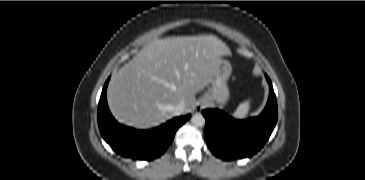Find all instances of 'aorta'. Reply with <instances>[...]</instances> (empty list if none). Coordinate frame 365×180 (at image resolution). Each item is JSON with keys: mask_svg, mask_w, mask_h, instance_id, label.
Returning <instances> with one entry per match:
<instances>
[{"mask_svg": "<svg viewBox=\"0 0 365 180\" xmlns=\"http://www.w3.org/2000/svg\"><path fill=\"white\" fill-rule=\"evenodd\" d=\"M191 123L197 127H202L205 125V118L202 114H195L191 118Z\"/></svg>", "mask_w": 365, "mask_h": 180, "instance_id": "1", "label": "aorta"}]
</instances>
